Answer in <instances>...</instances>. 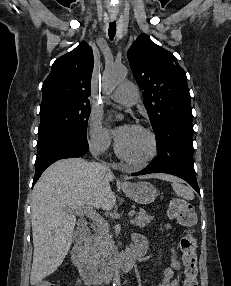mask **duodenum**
Listing matches in <instances>:
<instances>
[{
    "label": "duodenum",
    "instance_id": "obj_1",
    "mask_svg": "<svg viewBox=\"0 0 231 286\" xmlns=\"http://www.w3.org/2000/svg\"><path fill=\"white\" fill-rule=\"evenodd\" d=\"M90 244L89 232H83L72 250V260L81 278L88 285L110 282L117 273L130 271L135 263L145 254L146 242L142 239L135 241V246L127 250L116 261L102 269H96L87 260Z\"/></svg>",
    "mask_w": 231,
    "mask_h": 286
}]
</instances>
